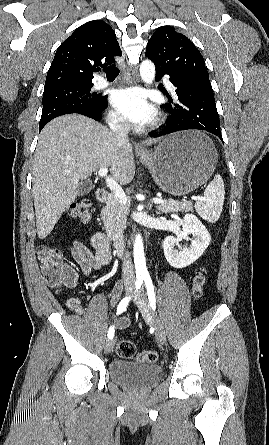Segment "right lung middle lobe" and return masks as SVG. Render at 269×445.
<instances>
[{
  "label": "right lung middle lobe",
  "instance_id": "1",
  "mask_svg": "<svg viewBox=\"0 0 269 445\" xmlns=\"http://www.w3.org/2000/svg\"><path fill=\"white\" fill-rule=\"evenodd\" d=\"M92 86L93 84L68 85L45 89L39 129L60 115L97 110L102 104L104 96L90 93Z\"/></svg>",
  "mask_w": 269,
  "mask_h": 445
}]
</instances>
